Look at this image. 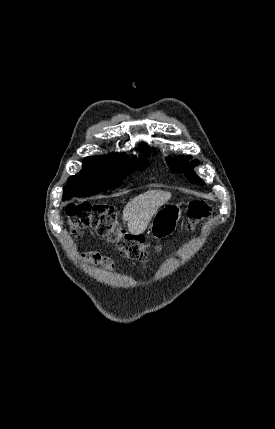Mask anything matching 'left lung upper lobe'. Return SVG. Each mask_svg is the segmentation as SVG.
I'll use <instances>...</instances> for the list:
<instances>
[{"mask_svg": "<svg viewBox=\"0 0 275 429\" xmlns=\"http://www.w3.org/2000/svg\"><path fill=\"white\" fill-rule=\"evenodd\" d=\"M190 156H180L177 158H168V164L170 169L175 173H185V175L188 177L189 181L192 183H198L203 184V182L200 180L199 176L196 175L193 171V166L198 165V161H191L186 168L185 165L188 163Z\"/></svg>", "mask_w": 275, "mask_h": 429, "instance_id": "obj_1", "label": "left lung upper lobe"}]
</instances>
